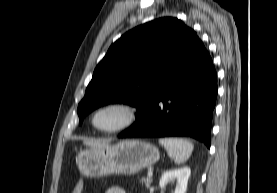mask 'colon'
Here are the masks:
<instances>
[{"label":"colon","mask_w":277,"mask_h":193,"mask_svg":"<svg viewBox=\"0 0 277 193\" xmlns=\"http://www.w3.org/2000/svg\"><path fill=\"white\" fill-rule=\"evenodd\" d=\"M84 184L83 181L80 180L77 182L76 186L73 189L72 193H83Z\"/></svg>","instance_id":"1"}]
</instances>
